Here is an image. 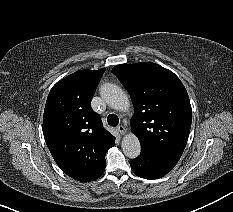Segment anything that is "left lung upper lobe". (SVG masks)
<instances>
[{
	"label": "left lung upper lobe",
	"instance_id": "obj_1",
	"mask_svg": "<svg viewBox=\"0 0 233 212\" xmlns=\"http://www.w3.org/2000/svg\"><path fill=\"white\" fill-rule=\"evenodd\" d=\"M112 73L132 98L131 131L138 137L141 150L178 162L192 122L190 100L182 82L155 63L120 64Z\"/></svg>",
	"mask_w": 233,
	"mask_h": 212
}]
</instances>
